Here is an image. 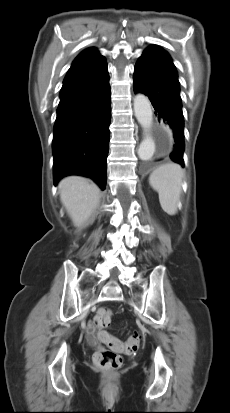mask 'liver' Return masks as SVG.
<instances>
[{
    "label": "liver",
    "mask_w": 230,
    "mask_h": 413,
    "mask_svg": "<svg viewBox=\"0 0 230 413\" xmlns=\"http://www.w3.org/2000/svg\"><path fill=\"white\" fill-rule=\"evenodd\" d=\"M60 200L75 226L88 220L99 204L100 190L80 176H69L59 183Z\"/></svg>",
    "instance_id": "6515ba94"
}]
</instances>
